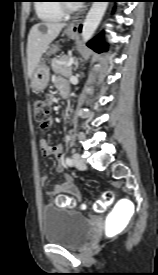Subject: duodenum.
<instances>
[{
	"instance_id": "1",
	"label": "duodenum",
	"mask_w": 158,
	"mask_h": 275,
	"mask_svg": "<svg viewBox=\"0 0 158 275\" xmlns=\"http://www.w3.org/2000/svg\"><path fill=\"white\" fill-rule=\"evenodd\" d=\"M60 92H61L62 97H67L69 94V87H65V88L61 89Z\"/></svg>"
}]
</instances>
